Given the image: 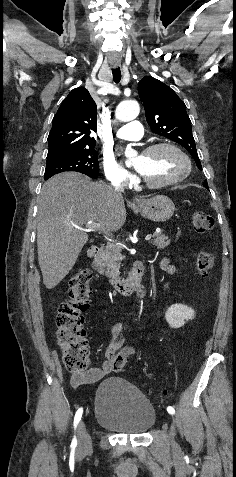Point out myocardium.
Segmentation results:
<instances>
[{"label":"myocardium","instance_id":"obj_1","mask_svg":"<svg viewBox=\"0 0 236 477\" xmlns=\"http://www.w3.org/2000/svg\"><path fill=\"white\" fill-rule=\"evenodd\" d=\"M161 148H169V149L175 151L176 153H178L184 159V161L186 163V169L179 176H177L175 178H172V179H169V180H166V181H162V182H152V181L146 179L145 177H143L138 172L139 180L145 186H147L149 188H152V189H160V188H165V187L176 185V184L182 182L184 179H186L192 171V162H191V159L189 158V156L178 145H176L172 142L162 141V142H157V143L151 144V145L147 146L142 151V155L150 154V153H152V152H154L158 149H161Z\"/></svg>","mask_w":236,"mask_h":477}]
</instances>
